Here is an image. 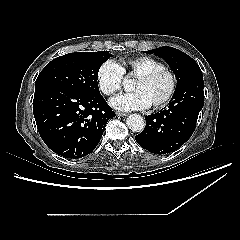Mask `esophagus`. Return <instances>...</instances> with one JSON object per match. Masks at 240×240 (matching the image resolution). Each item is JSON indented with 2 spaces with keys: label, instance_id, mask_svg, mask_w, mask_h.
Listing matches in <instances>:
<instances>
[{
  "label": "esophagus",
  "instance_id": "34e87169",
  "mask_svg": "<svg viewBox=\"0 0 240 240\" xmlns=\"http://www.w3.org/2000/svg\"><path fill=\"white\" fill-rule=\"evenodd\" d=\"M117 114L120 116H127V114H125V113H117Z\"/></svg>",
  "mask_w": 240,
  "mask_h": 240
}]
</instances>
